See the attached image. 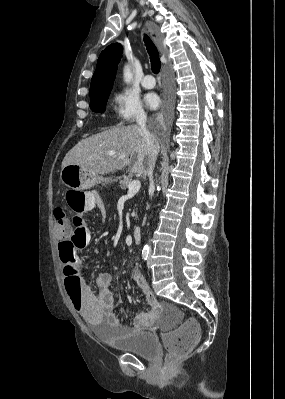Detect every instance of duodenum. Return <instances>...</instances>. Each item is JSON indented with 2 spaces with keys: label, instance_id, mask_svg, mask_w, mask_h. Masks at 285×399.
I'll list each match as a JSON object with an SVG mask.
<instances>
[{
  "label": "duodenum",
  "instance_id": "1",
  "mask_svg": "<svg viewBox=\"0 0 285 399\" xmlns=\"http://www.w3.org/2000/svg\"><path fill=\"white\" fill-rule=\"evenodd\" d=\"M133 239L136 243H141L143 239V231L140 227H135L133 229Z\"/></svg>",
  "mask_w": 285,
  "mask_h": 399
}]
</instances>
